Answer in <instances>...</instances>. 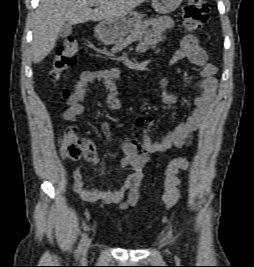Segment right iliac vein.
<instances>
[{"label": "right iliac vein", "mask_w": 254, "mask_h": 267, "mask_svg": "<svg viewBox=\"0 0 254 267\" xmlns=\"http://www.w3.org/2000/svg\"><path fill=\"white\" fill-rule=\"evenodd\" d=\"M89 247V243L86 244L84 250H83V253H82V259L84 260L86 258V253H87V249Z\"/></svg>", "instance_id": "right-iliac-vein-1"}]
</instances>
